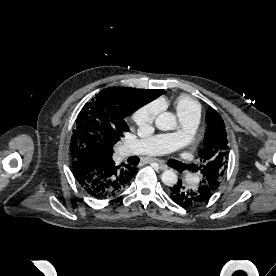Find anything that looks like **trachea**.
Masks as SVG:
<instances>
[{
    "label": "trachea",
    "instance_id": "1",
    "mask_svg": "<svg viewBox=\"0 0 276 276\" xmlns=\"http://www.w3.org/2000/svg\"><path fill=\"white\" fill-rule=\"evenodd\" d=\"M130 159H131V164L134 165V166L138 165V163L140 161L139 157H137V156H134ZM169 166H171L173 168H179L180 170H185V169L190 168V165H185V164H183L179 161H176V160H172L171 162H169Z\"/></svg>",
    "mask_w": 276,
    "mask_h": 276
}]
</instances>
